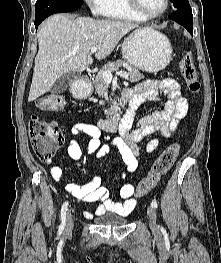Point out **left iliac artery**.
I'll return each mask as SVG.
<instances>
[{
    "instance_id": "obj_1",
    "label": "left iliac artery",
    "mask_w": 221,
    "mask_h": 263,
    "mask_svg": "<svg viewBox=\"0 0 221 263\" xmlns=\"http://www.w3.org/2000/svg\"><path fill=\"white\" fill-rule=\"evenodd\" d=\"M151 206H152L153 208H157V206H158V205H157V202H156V201H152V202H151Z\"/></svg>"
}]
</instances>
